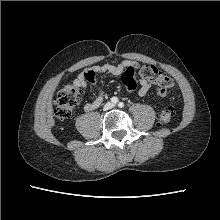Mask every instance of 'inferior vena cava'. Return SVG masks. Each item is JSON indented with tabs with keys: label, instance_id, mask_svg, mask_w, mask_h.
<instances>
[{
	"label": "inferior vena cava",
	"instance_id": "inferior-vena-cava-1",
	"mask_svg": "<svg viewBox=\"0 0 220 220\" xmlns=\"http://www.w3.org/2000/svg\"><path fill=\"white\" fill-rule=\"evenodd\" d=\"M113 106H114V105H113L112 103H109V104H106V105H105L104 109H105V110H108V109L113 108Z\"/></svg>",
	"mask_w": 220,
	"mask_h": 220
}]
</instances>
